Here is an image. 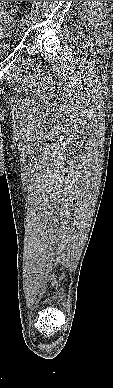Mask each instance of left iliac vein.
Here are the masks:
<instances>
[{"mask_svg": "<svg viewBox=\"0 0 113 388\" xmlns=\"http://www.w3.org/2000/svg\"><path fill=\"white\" fill-rule=\"evenodd\" d=\"M29 25V20L28 19H22L21 20V24H20V27L22 30H25Z\"/></svg>", "mask_w": 113, "mask_h": 388, "instance_id": "1", "label": "left iliac vein"}]
</instances>
